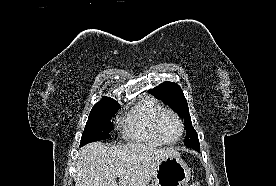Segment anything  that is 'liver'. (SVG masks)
<instances>
[{
	"label": "liver",
	"mask_w": 276,
	"mask_h": 186,
	"mask_svg": "<svg viewBox=\"0 0 276 186\" xmlns=\"http://www.w3.org/2000/svg\"><path fill=\"white\" fill-rule=\"evenodd\" d=\"M172 155L179 153L145 143H90L79 151L75 186H147L160 163Z\"/></svg>",
	"instance_id": "6515ba94"
}]
</instances>
